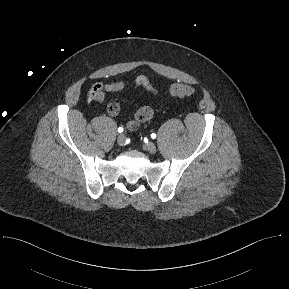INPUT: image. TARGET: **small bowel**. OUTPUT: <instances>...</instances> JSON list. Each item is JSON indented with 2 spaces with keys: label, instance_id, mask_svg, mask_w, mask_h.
Returning <instances> with one entry per match:
<instances>
[{
  "label": "small bowel",
  "instance_id": "small-bowel-1",
  "mask_svg": "<svg viewBox=\"0 0 289 289\" xmlns=\"http://www.w3.org/2000/svg\"><path fill=\"white\" fill-rule=\"evenodd\" d=\"M133 85L137 87H142L148 92H150L153 95L158 94V89L152 84L150 79L146 75H138L133 80ZM129 86V83L124 80H117L113 82L106 83L102 86V90L100 94L97 97V100L99 102H102L107 94H115L123 91ZM120 108L117 103H110L107 107V112L110 116L116 117L119 114ZM154 111L150 106H143L139 108L134 118L127 121L126 128L129 131H135L138 129V127L147 121H149L153 117Z\"/></svg>",
  "mask_w": 289,
  "mask_h": 289
}]
</instances>
